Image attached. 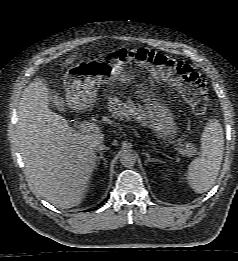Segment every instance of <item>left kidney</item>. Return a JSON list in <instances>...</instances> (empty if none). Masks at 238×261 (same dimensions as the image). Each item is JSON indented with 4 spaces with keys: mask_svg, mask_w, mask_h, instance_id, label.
Here are the masks:
<instances>
[{
    "mask_svg": "<svg viewBox=\"0 0 238 261\" xmlns=\"http://www.w3.org/2000/svg\"><path fill=\"white\" fill-rule=\"evenodd\" d=\"M164 178L165 179H168V175L164 173Z\"/></svg>",
    "mask_w": 238,
    "mask_h": 261,
    "instance_id": "left-kidney-1",
    "label": "left kidney"
}]
</instances>
